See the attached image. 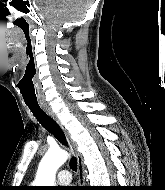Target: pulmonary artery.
<instances>
[{"mask_svg": "<svg viewBox=\"0 0 165 190\" xmlns=\"http://www.w3.org/2000/svg\"><path fill=\"white\" fill-rule=\"evenodd\" d=\"M72 176L68 170H60L57 174V181L60 184H69L71 182Z\"/></svg>", "mask_w": 165, "mask_h": 190, "instance_id": "e3ab8cb5", "label": "pulmonary artery"}]
</instances>
